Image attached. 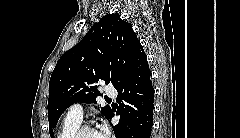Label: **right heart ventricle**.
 I'll return each mask as SVG.
<instances>
[{
    "label": "right heart ventricle",
    "mask_w": 240,
    "mask_h": 138,
    "mask_svg": "<svg viewBox=\"0 0 240 138\" xmlns=\"http://www.w3.org/2000/svg\"><path fill=\"white\" fill-rule=\"evenodd\" d=\"M81 120L67 116L61 124L57 138H70L74 130L80 125Z\"/></svg>",
    "instance_id": "1"
}]
</instances>
